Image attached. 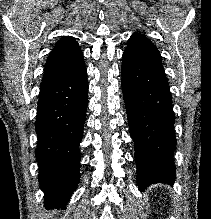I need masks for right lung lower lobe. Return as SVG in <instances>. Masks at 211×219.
<instances>
[{"label":"right lung lower lobe","instance_id":"obj_1","mask_svg":"<svg viewBox=\"0 0 211 219\" xmlns=\"http://www.w3.org/2000/svg\"><path fill=\"white\" fill-rule=\"evenodd\" d=\"M87 92L83 59L40 86L36 160L48 208H64L79 183V144L86 119Z\"/></svg>","mask_w":211,"mask_h":219}]
</instances>
